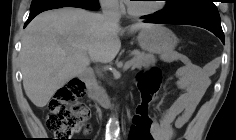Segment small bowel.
Returning <instances> with one entry per match:
<instances>
[{
	"mask_svg": "<svg viewBox=\"0 0 236 140\" xmlns=\"http://www.w3.org/2000/svg\"><path fill=\"white\" fill-rule=\"evenodd\" d=\"M177 59L183 63L177 71V85L182 94L161 114L158 121H153V140H173L176 132L182 130L190 121L210 86L213 65L200 67L182 54H177ZM90 131L91 128L87 125L83 134L88 135Z\"/></svg>",
	"mask_w": 236,
	"mask_h": 140,
	"instance_id": "obj_1",
	"label": "small bowel"
}]
</instances>
